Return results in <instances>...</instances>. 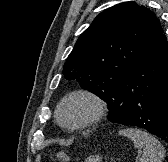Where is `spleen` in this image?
<instances>
[{"label":"spleen","mask_w":168,"mask_h":162,"mask_svg":"<svg viewBox=\"0 0 168 162\" xmlns=\"http://www.w3.org/2000/svg\"><path fill=\"white\" fill-rule=\"evenodd\" d=\"M119 135L128 137L137 149L142 150L140 162H162L164 159V147L148 132L137 128H126L120 130Z\"/></svg>","instance_id":"1"}]
</instances>
